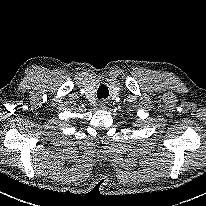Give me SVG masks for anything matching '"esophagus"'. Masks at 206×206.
I'll return each mask as SVG.
<instances>
[{
    "label": "esophagus",
    "mask_w": 206,
    "mask_h": 206,
    "mask_svg": "<svg viewBox=\"0 0 206 206\" xmlns=\"http://www.w3.org/2000/svg\"><path fill=\"white\" fill-rule=\"evenodd\" d=\"M100 107H101L102 109H106V108H107L106 102H101V103H100Z\"/></svg>",
    "instance_id": "obj_1"
}]
</instances>
